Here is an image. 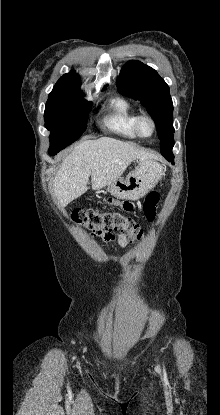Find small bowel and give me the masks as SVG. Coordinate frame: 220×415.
<instances>
[{"mask_svg":"<svg viewBox=\"0 0 220 415\" xmlns=\"http://www.w3.org/2000/svg\"><path fill=\"white\" fill-rule=\"evenodd\" d=\"M93 236L102 238L105 242H108V243L116 242L119 246H121L123 248L128 247V240H127V237L124 234H118L117 236H115L112 233L111 234H103V235H97V234L93 233Z\"/></svg>","mask_w":220,"mask_h":415,"instance_id":"1","label":"small bowel"}]
</instances>
